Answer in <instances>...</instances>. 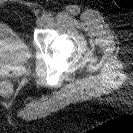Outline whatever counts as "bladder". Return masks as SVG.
Listing matches in <instances>:
<instances>
[{
    "instance_id": "31cf9c89",
    "label": "bladder",
    "mask_w": 133,
    "mask_h": 133,
    "mask_svg": "<svg viewBox=\"0 0 133 133\" xmlns=\"http://www.w3.org/2000/svg\"><path fill=\"white\" fill-rule=\"evenodd\" d=\"M31 51L24 39L9 25L0 23V62L23 64Z\"/></svg>"
}]
</instances>
